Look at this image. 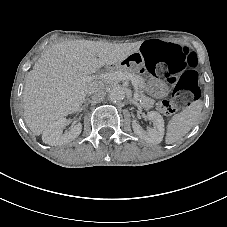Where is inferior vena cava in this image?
Returning <instances> with one entry per match:
<instances>
[{
	"label": "inferior vena cava",
	"mask_w": 227,
	"mask_h": 227,
	"mask_svg": "<svg viewBox=\"0 0 227 227\" xmlns=\"http://www.w3.org/2000/svg\"><path fill=\"white\" fill-rule=\"evenodd\" d=\"M100 89L101 88L98 86L97 83H93L86 89V94L87 95L94 94L92 98L93 101L101 100L104 95V92L100 91Z\"/></svg>",
	"instance_id": "obj_1"
}]
</instances>
